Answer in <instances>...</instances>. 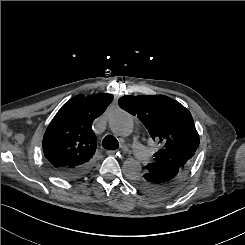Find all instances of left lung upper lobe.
<instances>
[{
    "label": "left lung upper lobe",
    "instance_id": "left-lung-upper-lobe-1",
    "mask_svg": "<svg viewBox=\"0 0 245 245\" xmlns=\"http://www.w3.org/2000/svg\"><path fill=\"white\" fill-rule=\"evenodd\" d=\"M118 104L137 116L151 138L160 144V150L147 165V172L133 179L135 187L153 194L148 180L151 173L166 167H176L185 172L192 162L200 143L194 120L187 108L164 95L123 96Z\"/></svg>",
    "mask_w": 245,
    "mask_h": 245
}]
</instances>
